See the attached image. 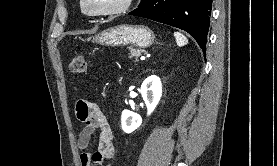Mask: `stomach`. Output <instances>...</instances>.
I'll return each mask as SVG.
<instances>
[{
    "instance_id": "1",
    "label": "stomach",
    "mask_w": 277,
    "mask_h": 166,
    "mask_svg": "<svg viewBox=\"0 0 277 166\" xmlns=\"http://www.w3.org/2000/svg\"><path fill=\"white\" fill-rule=\"evenodd\" d=\"M96 43L107 46L134 45L140 48L151 46L155 41V34L143 25H117L108 28L94 37Z\"/></svg>"
}]
</instances>
